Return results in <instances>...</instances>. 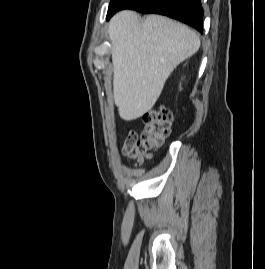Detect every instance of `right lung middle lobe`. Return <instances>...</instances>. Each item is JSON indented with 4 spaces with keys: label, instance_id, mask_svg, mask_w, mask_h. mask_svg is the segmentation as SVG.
Segmentation results:
<instances>
[{
    "label": "right lung middle lobe",
    "instance_id": "dd1d6c3e",
    "mask_svg": "<svg viewBox=\"0 0 265 269\" xmlns=\"http://www.w3.org/2000/svg\"><path fill=\"white\" fill-rule=\"evenodd\" d=\"M115 2V0H111L110 4H109V8L111 7V5Z\"/></svg>",
    "mask_w": 265,
    "mask_h": 269
}]
</instances>
